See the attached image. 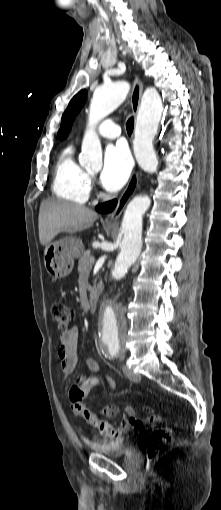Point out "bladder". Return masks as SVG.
I'll list each match as a JSON object with an SVG mask.
<instances>
[{
	"label": "bladder",
	"mask_w": 221,
	"mask_h": 510,
	"mask_svg": "<svg viewBox=\"0 0 221 510\" xmlns=\"http://www.w3.org/2000/svg\"><path fill=\"white\" fill-rule=\"evenodd\" d=\"M134 447V436L126 435L117 441L101 440L93 443L90 449L108 457L118 458L127 455Z\"/></svg>",
	"instance_id": "31cf9c89"
}]
</instances>
